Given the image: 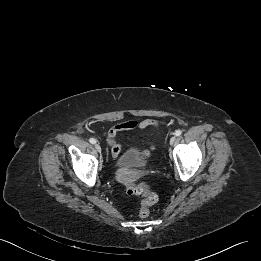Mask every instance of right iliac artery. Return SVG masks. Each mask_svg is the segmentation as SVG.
<instances>
[{
  "instance_id": "right-iliac-artery-1",
  "label": "right iliac artery",
  "mask_w": 261,
  "mask_h": 261,
  "mask_svg": "<svg viewBox=\"0 0 261 261\" xmlns=\"http://www.w3.org/2000/svg\"><path fill=\"white\" fill-rule=\"evenodd\" d=\"M89 142L92 143V144H95L96 143V140L94 138H90L89 139Z\"/></svg>"
}]
</instances>
